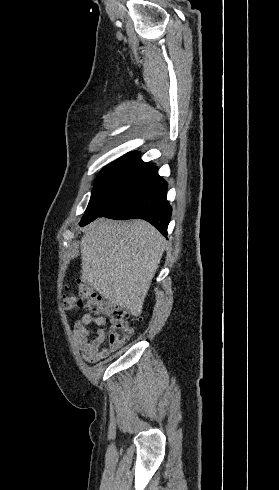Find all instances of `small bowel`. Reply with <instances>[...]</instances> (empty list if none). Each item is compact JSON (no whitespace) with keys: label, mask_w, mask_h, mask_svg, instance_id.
Wrapping results in <instances>:
<instances>
[{"label":"small bowel","mask_w":279,"mask_h":490,"mask_svg":"<svg viewBox=\"0 0 279 490\" xmlns=\"http://www.w3.org/2000/svg\"><path fill=\"white\" fill-rule=\"evenodd\" d=\"M107 323L106 318L91 314L83 315L74 323L73 340L86 361L95 363L106 359L110 355V349L103 347L106 339L104 326ZM91 324L98 327L94 338L90 337V331L88 329V326Z\"/></svg>","instance_id":"obj_1"}]
</instances>
